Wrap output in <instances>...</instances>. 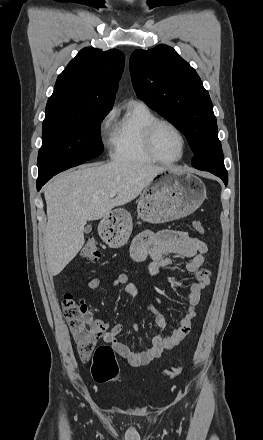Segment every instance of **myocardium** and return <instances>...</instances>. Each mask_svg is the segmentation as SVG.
Here are the masks:
<instances>
[{"mask_svg":"<svg viewBox=\"0 0 263 440\" xmlns=\"http://www.w3.org/2000/svg\"><path fill=\"white\" fill-rule=\"evenodd\" d=\"M161 125H167L170 128H172L179 135V137L181 139L182 151H181L180 156L176 159L165 160V159L160 158L155 152L154 135H155V132L158 129V127ZM143 142H144V148H145L147 154L151 157V159L153 161L161 163V164L177 163L184 158L186 151H187L186 136L184 135V133L181 131V129L176 124H174L173 122H171L170 120H167V119L157 118L154 121H152L151 123H149L144 130Z\"/></svg>","mask_w":263,"mask_h":440,"instance_id":"1","label":"myocardium"}]
</instances>
